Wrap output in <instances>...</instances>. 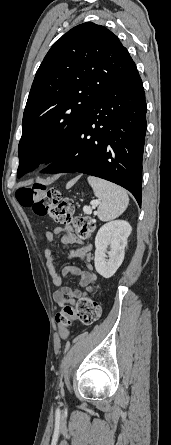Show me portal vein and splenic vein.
Here are the masks:
<instances>
[{"mask_svg":"<svg viewBox=\"0 0 171 445\" xmlns=\"http://www.w3.org/2000/svg\"><path fill=\"white\" fill-rule=\"evenodd\" d=\"M98 204H99L98 201L93 202V203H92V208H95ZM92 208H91V207H88V206H85V207L83 208V211H84V213H86V214H91V213H92Z\"/></svg>","mask_w":171,"mask_h":445,"instance_id":"obj_1","label":"portal vein and splenic vein"}]
</instances>
